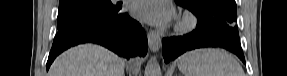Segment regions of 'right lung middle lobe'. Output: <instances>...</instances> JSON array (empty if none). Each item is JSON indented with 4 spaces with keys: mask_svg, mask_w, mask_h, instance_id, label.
Segmentation results:
<instances>
[{
    "mask_svg": "<svg viewBox=\"0 0 287 76\" xmlns=\"http://www.w3.org/2000/svg\"><path fill=\"white\" fill-rule=\"evenodd\" d=\"M120 9L110 0H60L57 28L60 31L79 22L105 18Z\"/></svg>",
    "mask_w": 287,
    "mask_h": 76,
    "instance_id": "1",
    "label": "right lung middle lobe"
}]
</instances>
